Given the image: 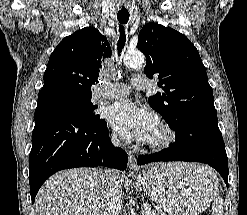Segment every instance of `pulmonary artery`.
<instances>
[{"label": "pulmonary artery", "instance_id": "1", "mask_svg": "<svg viewBox=\"0 0 247 215\" xmlns=\"http://www.w3.org/2000/svg\"><path fill=\"white\" fill-rule=\"evenodd\" d=\"M131 85L136 90H143L149 87V82L146 76L138 75L131 78ZM130 91V86L123 83H114L105 85L98 93V98L113 99L127 96Z\"/></svg>", "mask_w": 247, "mask_h": 215}]
</instances>
